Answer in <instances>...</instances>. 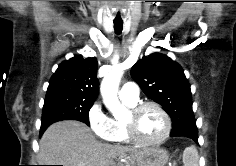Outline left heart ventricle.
<instances>
[{"label": "left heart ventricle", "instance_id": "1", "mask_svg": "<svg viewBox=\"0 0 236 166\" xmlns=\"http://www.w3.org/2000/svg\"><path fill=\"white\" fill-rule=\"evenodd\" d=\"M129 119V114L126 120ZM138 136L144 141H154L162 136L165 123L159 111L153 107L144 109L135 119Z\"/></svg>", "mask_w": 236, "mask_h": 166}]
</instances>
